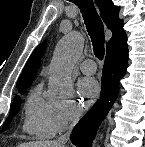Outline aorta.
I'll return each instance as SVG.
<instances>
[{"instance_id":"aorta-1","label":"aorta","mask_w":145,"mask_h":147,"mask_svg":"<svg viewBox=\"0 0 145 147\" xmlns=\"http://www.w3.org/2000/svg\"><path fill=\"white\" fill-rule=\"evenodd\" d=\"M83 47V37L78 31L66 34L57 44L49 75L51 101L61 103L71 98L73 93L71 72L82 54Z\"/></svg>"}]
</instances>
